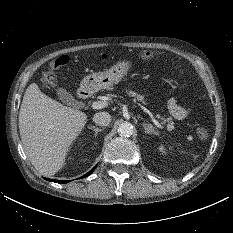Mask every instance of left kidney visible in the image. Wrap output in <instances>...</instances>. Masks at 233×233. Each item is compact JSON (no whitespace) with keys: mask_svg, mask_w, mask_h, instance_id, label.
I'll list each match as a JSON object with an SVG mask.
<instances>
[{"mask_svg":"<svg viewBox=\"0 0 233 233\" xmlns=\"http://www.w3.org/2000/svg\"><path fill=\"white\" fill-rule=\"evenodd\" d=\"M159 151H160L162 154H165V153H166V152H165L164 146H160V147H159Z\"/></svg>","mask_w":233,"mask_h":233,"instance_id":"5707ae66","label":"left kidney"}]
</instances>
